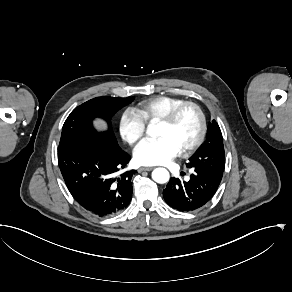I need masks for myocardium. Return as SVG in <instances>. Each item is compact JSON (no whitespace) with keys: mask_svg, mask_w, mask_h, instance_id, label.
Masks as SVG:
<instances>
[{"mask_svg":"<svg viewBox=\"0 0 292 292\" xmlns=\"http://www.w3.org/2000/svg\"><path fill=\"white\" fill-rule=\"evenodd\" d=\"M187 107L192 108L196 112V114L198 116L199 126H198V132H197L195 139L190 144L181 148V151L183 153H188L192 150L197 149L201 145V143L203 142L205 132H206V120H205L204 113H203L202 109L200 108V106L194 102H191V101H183L181 103H178V104L172 106L164 115H162L158 118V121L161 123L171 124L176 120L179 113L184 108H187Z\"/></svg>","mask_w":292,"mask_h":292,"instance_id":"1","label":"myocardium"}]
</instances>
